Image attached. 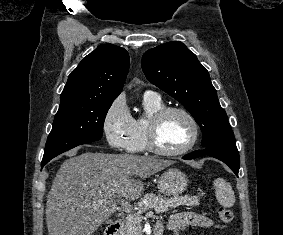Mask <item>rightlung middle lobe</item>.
Here are the masks:
<instances>
[{
    "label": "right lung middle lobe",
    "instance_id": "right-lung-middle-lobe-1",
    "mask_svg": "<svg viewBox=\"0 0 283 235\" xmlns=\"http://www.w3.org/2000/svg\"><path fill=\"white\" fill-rule=\"evenodd\" d=\"M112 101L69 100L60 102L48 136L42 162L78 145L100 140Z\"/></svg>",
    "mask_w": 283,
    "mask_h": 235
}]
</instances>
